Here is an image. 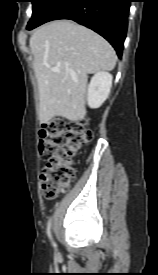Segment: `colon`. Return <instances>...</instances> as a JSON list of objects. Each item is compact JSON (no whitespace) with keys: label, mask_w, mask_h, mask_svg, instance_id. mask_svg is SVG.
I'll return each instance as SVG.
<instances>
[{"label":"colon","mask_w":158,"mask_h":275,"mask_svg":"<svg viewBox=\"0 0 158 275\" xmlns=\"http://www.w3.org/2000/svg\"><path fill=\"white\" fill-rule=\"evenodd\" d=\"M92 137L84 122L69 123L57 117L44 124L39 132L38 151L45 162L40 183L46 198H57L69 188L75 177V159Z\"/></svg>","instance_id":"1"}]
</instances>
